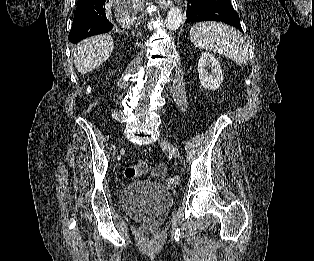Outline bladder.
<instances>
[{
  "label": "bladder",
  "instance_id": "bladder-1",
  "mask_svg": "<svg viewBox=\"0 0 314 261\" xmlns=\"http://www.w3.org/2000/svg\"><path fill=\"white\" fill-rule=\"evenodd\" d=\"M172 202V195L162 184L149 180L135 181L125 186L121 192L123 209L135 217L161 221L167 215Z\"/></svg>",
  "mask_w": 314,
  "mask_h": 261
}]
</instances>
